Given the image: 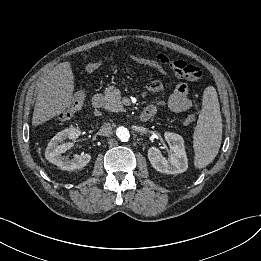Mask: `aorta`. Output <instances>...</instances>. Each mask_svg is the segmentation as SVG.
Returning a JSON list of instances; mask_svg holds the SVG:
<instances>
[{
  "mask_svg": "<svg viewBox=\"0 0 261 261\" xmlns=\"http://www.w3.org/2000/svg\"><path fill=\"white\" fill-rule=\"evenodd\" d=\"M116 135L123 142L128 141L130 138L129 130L123 126H120L116 129Z\"/></svg>",
  "mask_w": 261,
  "mask_h": 261,
  "instance_id": "obj_1",
  "label": "aorta"
}]
</instances>
